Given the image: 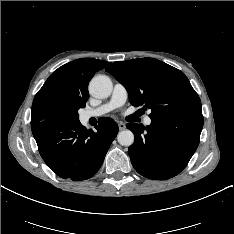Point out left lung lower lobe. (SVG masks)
Returning a JSON list of instances; mask_svg holds the SVG:
<instances>
[{
    "label": "left lung lower lobe",
    "instance_id": "1",
    "mask_svg": "<svg viewBox=\"0 0 234 234\" xmlns=\"http://www.w3.org/2000/svg\"><path fill=\"white\" fill-rule=\"evenodd\" d=\"M135 136L128 154L135 170L150 179L165 180L179 174L199 145L202 113L155 119L147 127L128 123Z\"/></svg>",
    "mask_w": 234,
    "mask_h": 234
}]
</instances>
